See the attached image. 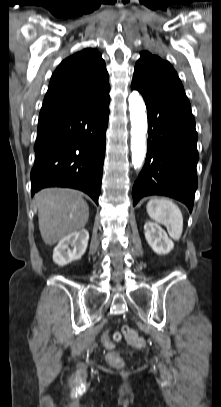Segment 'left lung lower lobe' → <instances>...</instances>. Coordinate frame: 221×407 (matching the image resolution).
Here are the masks:
<instances>
[{
    "instance_id": "left-lung-lower-lobe-1",
    "label": "left lung lower lobe",
    "mask_w": 221,
    "mask_h": 407,
    "mask_svg": "<svg viewBox=\"0 0 221 407\" xmlns=\"http://www.w3.org/2000/svg\"><path fill=\"white\" fill-rule=\"evenodd\" d=\"M139 91L148 110V146L144 167L135 181L134 206L145 196L163 195L184 203L190 212L197 189V132L184 92L151 95Z\"/></svg>"
}]
</instances>
